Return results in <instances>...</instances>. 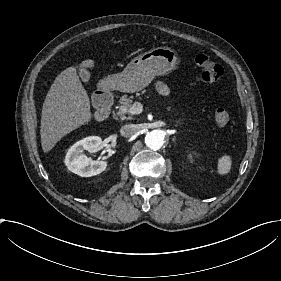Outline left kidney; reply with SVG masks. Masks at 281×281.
Wrapping results in <instances>:
<instances>
[{"instance_id": "obj_1", "label": "left kidney", "mask_w": 281, "mask_h": 281, "mask_svg": "<svg viewBox=\"0 0 281 281\" xmlns=\"http://www.w3.org/2000/svg\"><path fill=\"white\" fill-rule=\"evenodd\" d=\"M195 154L191 151H188L187 152V155H186V158H187V161L191 164L195 163Z\"/></svg>"}]
</instances>
